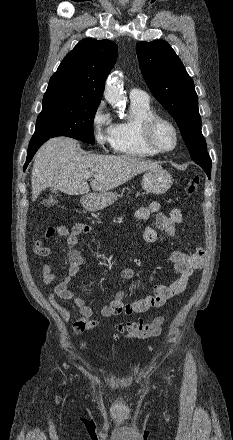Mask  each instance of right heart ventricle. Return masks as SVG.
<instances>
[{"instance_id":"1","label":"right heart ventricle","mask_w":233,"mask_h":440,"mask_svg":"<svg viewBox=\"0 0 233 440\" xmlns=\"http://www.w3.org/2000/svg\"><path fill=\"white\" fill-rule=\"evenodd\" d=\"M131 117L113 124V149L130 158H148L156 154L142 142L140 125L147 117L156 114L149 102L131 101Z\"/></svg>"}]
</instances>
